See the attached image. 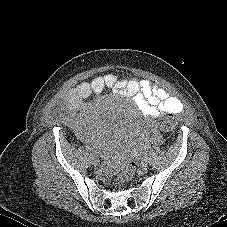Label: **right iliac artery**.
Returning <instances> with one entry per match:
<instances>
[{
  "label": "right iliac artery",
  "instance_id": "82829eb1",
  "mask_svg": "<svg viewBox=\"0 0 227 227\" xmlns=\"http://www.w3.org/2000/svg\"><path fill=\"white\" fill-rule=\"evenodd\" d=\"M86 150H88V151H89V150H90V147H89V146H86Z\"/></svg>",
  "mask_w": 227,
  "mask_h": 227
}]
</instances>
